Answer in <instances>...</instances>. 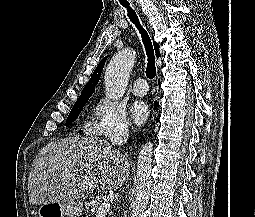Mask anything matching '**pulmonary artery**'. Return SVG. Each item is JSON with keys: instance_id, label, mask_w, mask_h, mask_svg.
Segmentation results:
<instances>
[{"instance_id": "1", "label": "pulmonary artery", "mask_w": 255, "mask_h": 217, "mask_svg": "<svg viewBox=\"0 0 255 217\" xmlns=\"http://www.w3.org/2000/svg\"><path fill=\"white\" fill-rule=\"evenodd\" d=\"M132 92L137 96H144L148 92V86L143 78H137L131 88Z\"/></svg>"}]
</instances>
